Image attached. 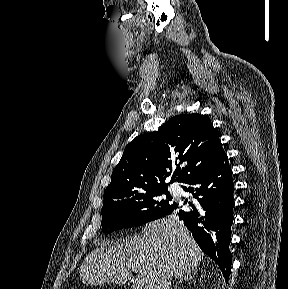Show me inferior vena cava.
<instances>
[{
  "mask_svg": "<svg viewBox=\"0 0 288 289\" xmlns=\"http://www.w3.org/2000/svg\"><path fill=\"white\" fill-rule=\"evenodd\" d=\"M171 280H172V278L169 277L168 280H167V282L164 284L163 289H170V287H171Z\"/></svg>",
  "mask_w": 288,
  "mask_h": 289,
  "instance_id": "inferior-vena-cava-1",
  "label": "inferior vena cava"
}]
</instances>
